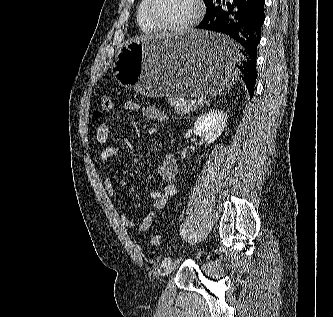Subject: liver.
<instances>
[{"label": "liver", "instance_id": "obj_1", "mask_svg": "<svg viewBox=\"0 0 333 317\" xmlns=\"http://www.w3.org/2000/svg\"><path fill=\"white\" fill-rule=\"evenodd\" d=\"M164 35H167V34H161V35H157V36H164ZM153 37V36H152ZM144 38H148V37H141L139 39H144Z\"/></svg>", "mask_w": 333, "mask_h": 317}]
</instances>
